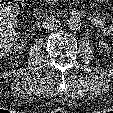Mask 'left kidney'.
<instances>
[{
    "mask_svg": "<svg viewBox=\"0 0 113 113\" xmlns=\"http://www.w3.org/2000/svg\"><path fill=\"white\" fill-rule=\"evenodd\" d=\"M99 45H101V47H104V48L108 49V44L104 41H100Z\"/></svg>",
    "mask_w": 113,
    "mask_h": 113,
    "instance_id": "left-kidney-1",
    "label": "left kidney"
}]
</instances>
